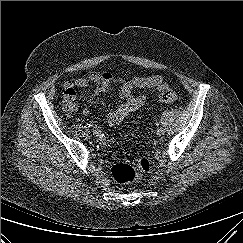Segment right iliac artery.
<instances>
[{
    "instance_id": "obj_1",
    "label": "right iliac artery",
    "mask_w": 243,
    "mask_h": 243,
    "mask_svg": "<svg viewBox=\"0 0 243 243\" xmlns=\"http://www.w3.org/2000/svg\"><path fill=\"white\" fill-rule=\"evenodd\" d=\"M90 126H91L90 124H86L84 127L89 128Z\"/></svg>"
}]
</instances>
